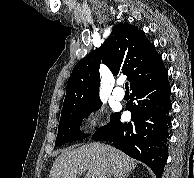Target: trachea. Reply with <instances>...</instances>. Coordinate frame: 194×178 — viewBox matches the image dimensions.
Wrapping results in <instances>:
<instances>
[{
  "label": "trachea",
  "instance_id": "3493384b",
  "mask_svg": "<svg viewBox=\"0 0 194 178\" xmlns=\"http://www.w3.org/2000/svg\"><path fill=\"white\" fill-rule=\"evenodd\" d=\"M125 89H126V91H129L128 83H125Z\"/></svg>",
  "mask_w": 194,
  "mask_h": 178
}]
</instances>
